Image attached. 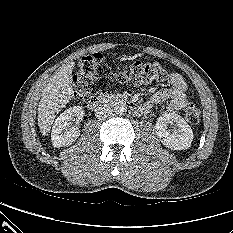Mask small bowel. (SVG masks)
Here are the masks:
<instances>
[{"instance_id":"obj_1","label":"small bowel","mask_w":233,"mask_h":233,"mask_svg":"<svg viewBox=\"0 0 233 233\" xmlns=\"http://www.w3.org/2000/svg\"><path fill=\"white\" fill-rule=\"evenodd\" d=\"M170 87L155 92L149 102L143 107L148 112L153 106L166 103L169 110L175 111L185 107L187 103V84L178 73H171L169 77Z\"/></svg>"}]
</instances>
